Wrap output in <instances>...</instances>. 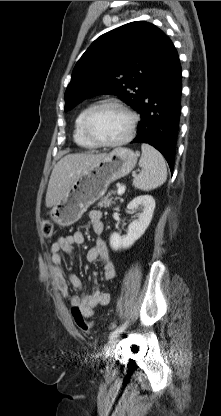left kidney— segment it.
<instances>
[{"label": "left kidney", "instance_id": "obj_1", "mask_svg": "<svg viewBox=\"0 0 221 416\" xmlns=\"http://www.w3.org/2000/svg\"><path fill=\"white\" fill-rule=\"evenodd\" d=\"M129 210L141 209L138 219H135L128 226L127 235L121 237L113 233L110 237V246L113 250L127 249L138 240L148 228L155 209V200L150 195H143L134 198L128 205Z\"/></svg>", "mask_w": 221, "mask_h": 416}]
</instances>
